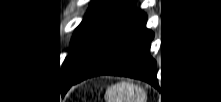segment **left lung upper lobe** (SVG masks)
Segmentation results:
<instances>
[{
	"label": "left lung upper lobe",
	"mask_w": 221,
	"mask_h": 102,
	"mask_svg": "<svg viewBox=\"0 0 221 102\" xmlns=\"http://www.w3.org/2000/svg\"><path fill=\"white\" fill-rule=\"evenodd\" d=\"M135 8L136 0H93L73 34L70 52L62 68V80L79 73Z\"/></svg>",
	"instance_id": "1"
}]
</instances>
